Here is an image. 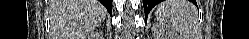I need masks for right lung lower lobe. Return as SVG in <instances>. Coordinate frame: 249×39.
I'll return each instance as SVG.
<instances>
[{
	"instance_id": "98d812e1",
	"label": "right lung lower lobe",
	"mask_w": 249,
	"mask_h": 39,
	"mask_svg": "<svg viewBox=\"0 0 249 39\" xmlns=\"http://www.w3.org/2000/svg\"><path fill=\"white\" fill-rule=\"evenodd\" d=\"M100 2L106 7L110 15L112 14V0H100Z\"/></svg>"
}]
</instances>
